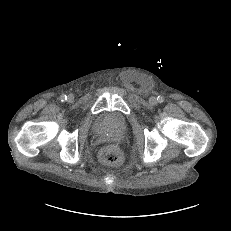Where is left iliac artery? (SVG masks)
<instances>
[{
    "instance_id": "obj_1",
    "label": "left iliac artery",
    "mask_w": 231,
    "mask_h": 231,
    "mask_svg": "<svg viewBox=\"0 0 231 231\" xmlns=\"http://www.w3.org/2000/svg\"><path fill=\"white\" fill-rule=\"evenodd\" d=\"M157 100H158L159 103H162V102H164V97L163 96H158Z\"/></svg>"
}]
</instances>
